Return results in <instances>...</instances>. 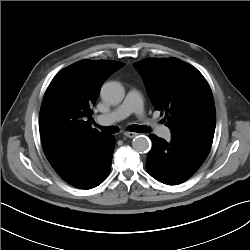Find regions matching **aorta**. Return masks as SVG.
<instances>
[{
	"label": "aorta",
	"instance_id": "obj_1",
	"mask_svg": "<svg viewBox=\"0 0 250 250\" xmlns=\"http://www.w3.org/2000/svg\"><path fill=\"white\" fill-rule=\"evenodd\" d=\"M124 96V87L119 82H107L101 88V97L109 104H119ZM132 147L139 153H146L150 149V140L144 135L136 136L132 141Z\"/></svg>",
	"mask_w": 250,
	"mask_h": 250
}]
</instances>
